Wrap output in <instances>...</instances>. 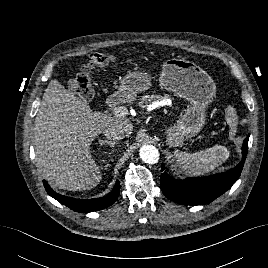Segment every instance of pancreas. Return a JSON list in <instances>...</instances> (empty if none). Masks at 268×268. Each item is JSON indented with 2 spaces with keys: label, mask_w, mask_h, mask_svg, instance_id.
<instances>
[{
  "label": "pancreas",
  "mask_w": 268,
  "mask_h": 268,
  "mask_svg": "<svg viewBox=\"0 0 268 268\" xmlns=\"http://www.w3.org/2000/svg\"><path fill=\"white\" fill-rule=\"evenodd\" d=\"M169 99V95L161 96V95H145L142 98H140V101L138 102V105L141 108H145L153 101H163Z\"/></svg>",
  "instance_id": "obj_1"
}]
</instances>
